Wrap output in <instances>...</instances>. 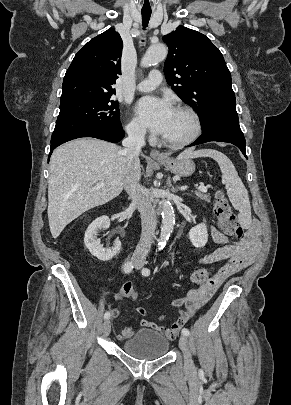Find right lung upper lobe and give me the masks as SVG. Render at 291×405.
<instances>
[{
	"label": "right lung upper lobe",
	"mask_w": 291,
	"mask_h": 405,
	"mask_svg": "<svg viewBox=\"0 0 291 405\" xmlns=\"http://www.w3.org/2000/svg\"><path fill=\"white\" fill-rule=\"evenodd\" d=\"M122 48V39L113 28L91 39L66 71L60 101L115 94L112 85L121 75Z\"/></svg>",
	"instance_id": "right-lung-upper-lobe-1"
}]
</instances>
